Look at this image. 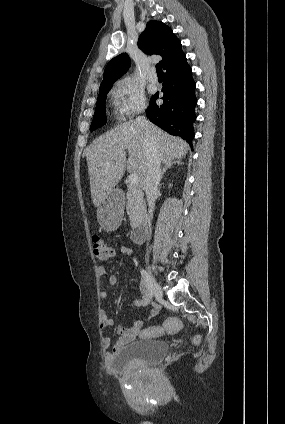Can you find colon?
I'll use <instances>...</instances> for the list:
<instances>
[{
	"label": "colon",
	"mask_w": 285,
	"mask_h": 424,
	"mask_svg": "<svg viewBox=\"0 0 285 424\" xmlns=\"http://www.w3.org/2000/svg\"><path fill=\"white\" fill-rule=\"evenodd\" d=\"M92 250L94 256L101 260H107L114 254L112 246L105 239L99 236H95L93 238ZM181 328V322L175 317H170L161 325L144 330L141 334V337L144 339H149L165 334H174ZM195 341H198V338H195Z\"/></svg>",
	"instance_id": "colon-1"
}]
</instances>
